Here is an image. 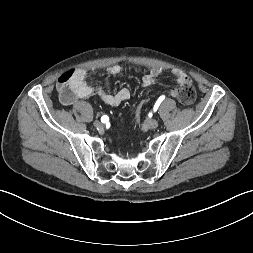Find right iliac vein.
I'll return each mask as SVG.
<instances>
[{"label": "right iliac vein", "instance_id": "right-iliac-vein-1", "mask_svg": "<svg viewBox=\"0 0 253 253\" xmlns=\"http://www.w3.org/2000/svg\"><path fill=\"white\" fill-rule=\"evenodd\" d=\"M93 125L96 127V128H102L103 127V124L100 122V121H94Z\"/></svg>", "mask_w": 253, "mask_h": 253}]
</instances>
